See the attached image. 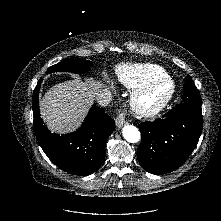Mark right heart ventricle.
Listing matches in <instances>:
<instances>
[{
	"label": "right heart ventricle",
	"instance_id": "e07e8e85",
	"mask_svg": "<svg viewBox=\"0 0 221 221\" xmlns=\"http://www.w3.org/2000/svg\"><path fill=\"white\" fill-rule=\"evenodd\" d=\"M118 81L128 89L134 90L147 82L165 76V70L155 64H122L116 69Z\"/></svg>",
	"mask_w": 221,
	"mask_h": 221
}]
</instances>
